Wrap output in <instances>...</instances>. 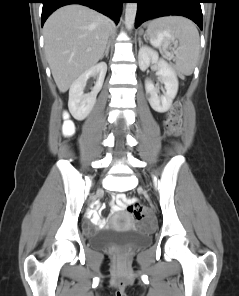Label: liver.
Returning a JSON list of instances; mask_svg holds the SVG:
<instances>
[{
    "label": "liver",
    "mask_w": 239,
    "mask_h": 296,
    "mask_svg": "<svg viewBox=\"0 0 239 296\" xmlns=\"http://www.w3.org/2000/svg\"><path fill=\"white\" fill-rule=\"evenodd\" d=\"M112 27L107 17L82 5L61 7L47 19L45 53L60 92L101 59Z\"/></svg>",
    "instance_id": "obj_1"
}]
</instances>
